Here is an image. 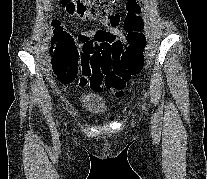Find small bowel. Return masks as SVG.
<instances>
[{
    "label": "small bowel",
    "instance_id": "c3829d8e",
    "mask_svg": "<svg viewBox=\"0 0 207 179\" xmlns=\"http://www.w3.org/2000/svg\"><path fill=\"white\" fill-rule=\"evenodd\" d=\"M92 19H96L98 21H100L104 28L102 29H91V30H81L79 33H78V37L80 40H85L87 38H90L92 36H94L99 30H105V31H108L112 34H114L115 36H118L120 35V31H119V23H120V20H121V16L119 13H114L112 14L110 17L108 18H100V17H95V18H92ZM56 22L53 23V25H55ZM95 88H100L99 85H93Z\"/></svg>",
    "mask_w": 207,
    "mask_h": 179
}]
</instances>
